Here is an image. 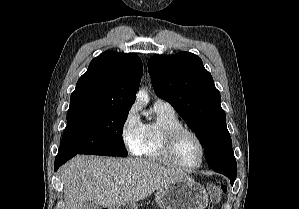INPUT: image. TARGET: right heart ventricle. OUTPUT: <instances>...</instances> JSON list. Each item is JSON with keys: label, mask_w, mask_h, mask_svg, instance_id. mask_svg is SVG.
I'll list each match as a JSON object with an SVG mask.
<instances>
[{"label": "right heart ventricle", "mask_w": 299, "mask_h": 209, "mask_svg": "<svg viewBox=\"0 0 299 209\" xmlns=\"http://www.w3.org/2000/svg\"><path fill=\"white\" fill-rule=\"evenodd\" d=\"M155 120L142 124L141 140L134 154L149 160L168 164L163 154L164 133L170 129L182 127L175 112L154 106Z\"/></svg>", "instance_id": "1"}]
</instances>
